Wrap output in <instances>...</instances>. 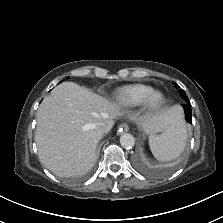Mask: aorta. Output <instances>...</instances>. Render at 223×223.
<instances>
[{
    "label": "aorta",
    "instance_id": "762f6f07",
    "mask_svg": "<svg viewBox=\"0 0 223 223\" xmlns=\"http://www.w3.org/2000/svg\"><path fill=\"white\" fill-rule=\"evenodd\" d=\"M120 144L123 148L130 149L135 145V138L129 133H125L120 137Z\"/></svg>",
    "mask_w": 223,
    "mask_h": 223
}]
</instances>
